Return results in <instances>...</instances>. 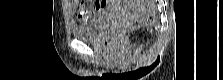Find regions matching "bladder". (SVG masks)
I'll return each mask as SVG.
<instances>
[{"instance_id": "obj_1", "label": "bladder", "mask_w": 223, "mask_h": 80, "mask_svg": "<svg viewBox=\"0 0 223 80\" xmlns=\"http://www.w3.org/2000/svg\"><path fill=\"white\" fill-rule=\"evenodd\" d=\"M111 11L104 12L95 19L71 25L72 35L82 41H95L101 34L105 22L110 18Z\"/></svg>"}]
</instances>
